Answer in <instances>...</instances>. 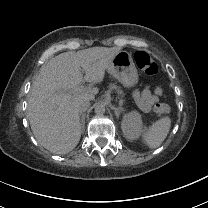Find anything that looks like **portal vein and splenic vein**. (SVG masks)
<instances>
[{
    "label": "portal vein and splenic vein",
    "instance_id": "portal-vein-and-splenic-vein-1",
    "mask_svg": "<svg viewBox=\"0 0 208 208\" xmlns=\"http://www.w3.org/2000/svg\"><path fill=\"white\" fill-rule=\"evenodd\" d=\"M84 79L87 82H91V79H90V77L88 75H85ZM91 87H92V84L91 83H88L87 84V87H84V86L81 85L78 88V90L80 92H91V90H92ZM114 90H115V95L117 96V99L118 100H121L122 99V96H123V93L121 92V90L119 89V87L118 86H115L114 87Z\"/></svg>",
    "mask_w": 208,
    "mask_h": 208
}]
</instances>
